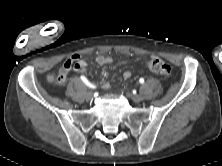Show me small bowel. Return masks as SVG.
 Masks as SVG:
<instances>
[{"instance_id": "c3829d8e", "label": "small bowel", "mask_w": 222, "mask_h": 166, "mask_svg": "<svg viewBox=\"0 0 222 166\" xmlns=\"http://www.w3.org/2000/svg\"><path fill=\"white\" fill-rule=\"evenodd\" d=\"M113 59L110 56L98 55L95 57V62L99 66H104L112 63ZM71 69L79 73H84L87 70V63L80 55H72L67 58L61 68V72L67 74ZM131 71L127 70L123 73V79L127 80L131 77ZM110 83L106 82L103 84L104 89H108Z\"/></svg>"}]
</instances>
